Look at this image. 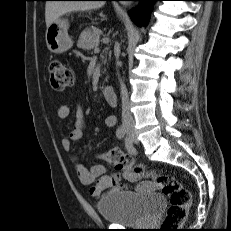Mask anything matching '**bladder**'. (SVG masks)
<instances>
[{"mask_svg":"<svg viewBox=\"0 0 231 231\" xmlns=\"http://www.w3.org/2000/svg\"><path fill=\"white\" fill-rule=\"evenodd\" d=\"M166 207L161 194L109 193L97 203L102 218L123 226L144 225L154 220Z\"/></svg>","mask_w":231,"mask_h":231,"instance_id":"obj_1","label":"bladder"}]
</instances>
